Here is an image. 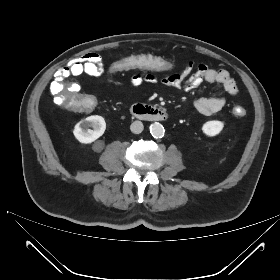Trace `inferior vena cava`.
Listing matches in <instances>:
<instances>
[{"label":"inferior vena cava","mask_w":280,"mask_h":280,"mask_svg":"<svg viewBox=\"0 0 280 280\" xmlns=\"http://www.w3.org/2000/svg\"><path fill=\"white\" fill-rule=\"evenodd\" d=\"M143 123L141 121H134L131 126H130V130L134 133V134H139L143 131Z\"/></svg>","instance_id":"obj_1"}]
</instances>
